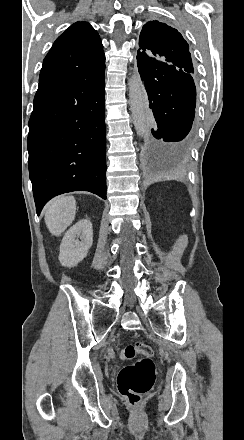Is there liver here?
Here are the masks:
<instances>
[{"instance_id":"liver-1","label":"liver","mask_w":244,"mask_h":440,"mask_svg":"<svg viewBox=\"0 0 244 440\" xmlns=\"http://www.w3.org/2000/svg\"><path fill=\"white\" fill-rule=\"evenodd\" d=\"M76 214V200L73 196H59L51 200L45 212V224L52 236H60L71 226Z\"/></svg>"}]
</instances>
